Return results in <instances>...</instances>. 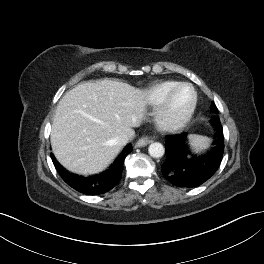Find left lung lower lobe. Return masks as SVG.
Masks as SVG:
<instances>
[{"label":"left lung lower lobe","instance_id":"left-lung-lower-lobe-1","mask_svg":"<svg viewBox=\"0 0 264 264\" xmlns=\"http://www.w3.org/2000/svg\"><path fill=\"white\" fill-rule=\"evenodd\" d=\"M215 128L212 147L204 154H192L185 133L166 137V161L161 166L164 177L178 187H196L217 171L224 153L222 126Z\"/></svg>","mask_w":264,"mask_h":264}]
</instances>
